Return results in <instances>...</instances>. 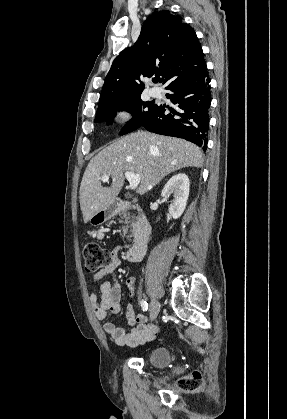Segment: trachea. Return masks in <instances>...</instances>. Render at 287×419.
Returning a JSON list of instances; mask_svg holds the SVG:
<instances>
[{"mask_svg": "<svg viewBox=\"0 0 287 419\" xmlns=\"http://www.w3.org/2000/svg\"><path fill=\"white\" fill-rule=\"evenodd\" d=\"M153 82L154 83L160 82V79L159 78H155V79H153Z\"/></svg>", "mask_w": 287, "mask_h": 419, "instance_id": "1", "label": "trachea"}]
</instances>
